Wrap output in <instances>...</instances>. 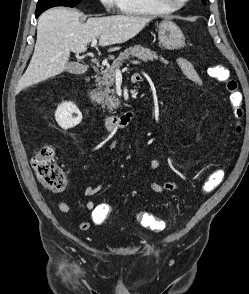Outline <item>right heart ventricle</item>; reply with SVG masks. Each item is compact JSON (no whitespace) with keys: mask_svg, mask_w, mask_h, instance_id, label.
I'll return each instance as SVG.
<instances>
[{"mask_svg":"<svg viewBox=\"0 0 249 294\" xmlns=\"http://www.w3.org/2000/svg\"><path fill=\"white\" fill-rule=\"evenodd\" d=\"M116 5L121 12L129 15H164L172 11L161 7L155 0H116Z\"/></svg>","mask_w":249,"mask_h":294,"instance_id":"right-heart-ventricle-1","label":"right heart ventricle"}]
</instances>
